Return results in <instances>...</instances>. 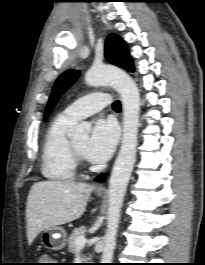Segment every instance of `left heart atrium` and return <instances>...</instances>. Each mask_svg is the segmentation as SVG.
<instances>
[{
	"mask_svg": "<svg viewBox=\"0 0 205 265\" xmlns=\"http://www.w3.org/2000/svg\"><path fill=\"white\" fill-rule=\"evenodd\" d=\"M117 141L118 128L116 124L109 119H99L94 124L84 154L92 162H104L112 155Z\"/></svg>",
	"mask_w": 205,
	"mask_h": 265,
	"instance_id": "39dd6f15",
	"label": "left heart atrium"
}]
</instances>
